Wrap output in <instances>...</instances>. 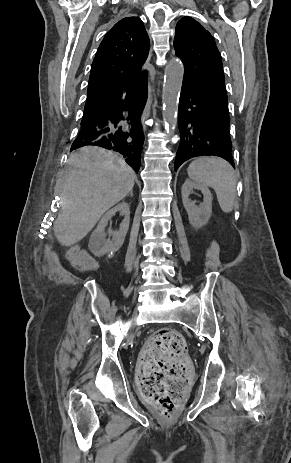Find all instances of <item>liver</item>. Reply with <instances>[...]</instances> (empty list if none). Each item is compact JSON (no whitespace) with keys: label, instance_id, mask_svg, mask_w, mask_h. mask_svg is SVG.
Here are the masks:
<instances>
[{"label":"liver","instance_id":"6515ba94","mask_svg":"<svg viewBox=\"0 0 291 463\" xmlns=\"http://www.w3.org/2000/svg\"><path fill=\"white\" fill-rule=\"evenodd\" d=\"M68 164L59 184L61 213L54 226L64 246L81 241L133 189L135 179L121 157L96 146L81 148L69 157Z\"/></svg>","mask_w":291,"mask_h":463}]
</instances>
